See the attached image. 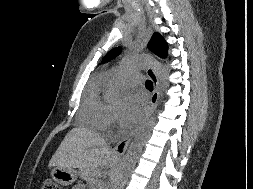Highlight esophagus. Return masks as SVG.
<instances>
[{"instance_id":"obj_1","label":"esophagus","mask_w":253,"mask_h":189,"mask_svg":"<svg viewBox=\"0 0 253 189\" xmlns=\"http://www.w3.org/2000/svg\"><path fill=\"white\" fill-rule=\"evenodd\" d=\"M147 75L150 77L152 83H153V92L150 96V106L149 110L146 114V117L142 121V123L133 131L131 132L128 136H126L122 141H120L114 148V153L118 155H123L125 151L127 150L130 142L132 139L136 136V134L140 131L146 120L149 118V116L152 114L154 109L157 106L158 99H159V80L156 75V72L154 69H148Z\"/></svg>"}]
</instances>
